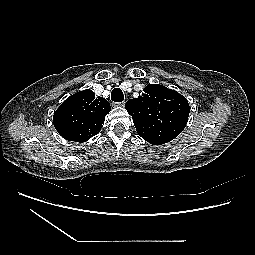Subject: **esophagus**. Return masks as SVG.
I'll return each instance as SVG.
<instances>
[{
    "mask_svg": "<svg viewBox=\"0 0 255 255\" xmlns=\"http://www.w3.org/2000/svg\"><path fill=\"white\" fill-rule=\"evenodd\" d=\"M112 105H113L114 107H124L125 102H124V101H123V102H119V103L114 102V103H112Z\"/></svg>",
    "mask_w": 255,
    "mask_h": 255,
    "instance_id": "1",
    "label": "esophagus"
}]
</instances>
